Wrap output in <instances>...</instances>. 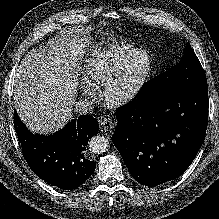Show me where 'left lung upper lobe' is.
I'll return each mask as SVG.
<instances>
[{
    "label": "left lung upper lobe",
    "mask_w": 219,
    "mask_h": 219,
    "mask_svg": "<svg viewBox=\"0 0 219 219\" xmlns=\"http://www.w3.org/2000/svg\"><path fill=\"white\" fill-rule=\"evenodd\" d=\"M194 86H207V79L199 59L187 43L180 62L149 81L137 100L155 101L177 90Z\"/></svg>",
    "instance_id": "left-lung-upper-lobe-1"
}]
</instances>
